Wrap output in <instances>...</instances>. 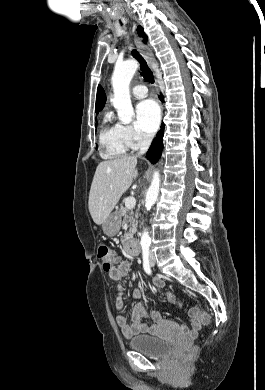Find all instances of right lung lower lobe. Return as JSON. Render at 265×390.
<instances>
[{
	"label": "right lung lower lobe",
	"instance_id": "98d812e1",
	"mask_svg": "<svg viewBox=\"0 0 265 390\" xmlns=\"http://www.w3.org/2000/svg\"><path fill=\"white\" fill-rule=\"evenodd\" d=\"M163 129H164V124L161 126V130L157 133L155 139L153 140L146 157L147 159L152 163L155 164L157 163L158 159L160 158L163 150V142H162V137H163Z\"/></svg>",
	"mask_w": 265,
	"mask_h": 390
}]
</instances>
